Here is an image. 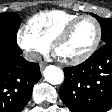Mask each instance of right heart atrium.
<instances>
[{
    "mask_svg": "<svg viewBox=\"0 0 112 112\" xmlns=\"http://www.w3.org/2000/svg\"><path fill=\"white\" fill-rule=\"evenodd\" d=\"M16 41L28 60H36L49 49V44L34 34L28 26H21L16 33Z\"/></svg>",
    "mask_w": 112,
    "mask_h": 112,
    "instance_id": "right-heart-atrium-1",
    "label": "right heart atrium"
}]
</instances>
